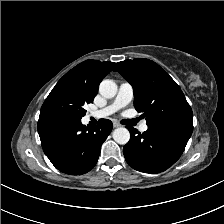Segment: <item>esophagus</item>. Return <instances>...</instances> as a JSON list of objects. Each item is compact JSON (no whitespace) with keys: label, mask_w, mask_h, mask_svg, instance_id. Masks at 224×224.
<instances>
[{"label":"esophagus","mask_w":224,"mask_h":224,"mask_svg":"<svg viewBox=\"0 0 224 224\" xmlns=\"http://www.w3.org/2000/svg\"><path fill=\"white\" fill-rule=\"evenodd\" d=\"M113 126H114V128H117V127H120L121 125H120L119 122H117L116 120H114L113 121Z\"/></svg>","instance_id":"obj_1"}]
</instances>
